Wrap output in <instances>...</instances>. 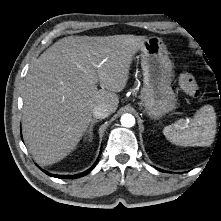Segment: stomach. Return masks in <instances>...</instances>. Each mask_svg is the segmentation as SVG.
I'll list each match as a JSON object with an SVG mask.
<instances>
[{
  "label": "stomach",
  "instance_id": "obj_1",
  "mask_svg": "<svg viewBox=\"0 0 221 221\" xmlns=\"http://www.w3.org/2000/svg\"><path fill=\"white\" fill-rule=\"evenodd\" d=\"M140 50L143 70L141 100L150 117L160 118L172 111L177 104L171 87L172 62L166 46L158 37L145 39Z\"/></svg>",
  "mask_w": 221,
  "mask_h": 221
}]
</instances>
